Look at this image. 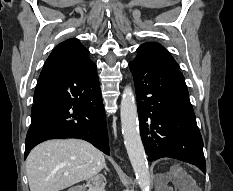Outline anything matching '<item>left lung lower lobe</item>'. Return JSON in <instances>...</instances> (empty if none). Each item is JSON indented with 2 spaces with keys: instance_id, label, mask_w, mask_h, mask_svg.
Masks as SVG:
<instances>
[{
  "instance_id": "1",
  "label": "left lung lower lobe",
  "mask_w": 233,
  "mask_h": 191,
  "mask_svg": "<svg viewBox=\"0 0 233 191\" xmlns=\"http://www.w3.org/2000/svg\"><path fill=\"white\" fill-rule=\"evenodd\" d=\"M129 67L148 160L175 158L206 173L203 140L183 74L170 64L150 58L136 57Z\"/></svg>"
}]
</instances>
